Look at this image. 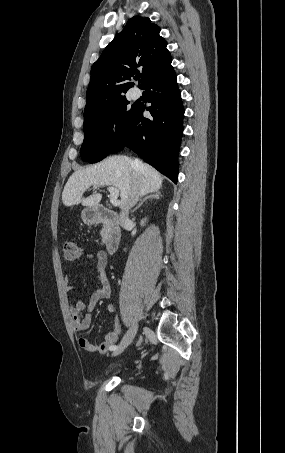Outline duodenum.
I'll use <instances>...</instances> for the list:
<instances>
[{
  "label": "duodenum",
  "instance_id": "410a0bca",
  "mask_svg": "<svg viewBox=\"0 0 285 453\" xmlns=\"http://www.w3.org/2000/svg\"><path fill=\"white\" fill-rule=\"evenodd\" d=\"M92 220L95 223L104 225V245L109 253H114L117 250L121 240V229L118 215L104 206H96L92 212Z\"/></svg>",
  "mask_w": 285,
  "mask_h": 453
}]
</instances>
